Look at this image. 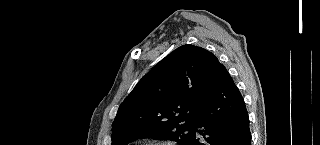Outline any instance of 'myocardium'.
Segmentation results:
<instances>
[{
	"mask_svg": "<svg viewBox=\"0 0 320 145\" xmlns=\"http://www.w3.org/2000/svg\"><path fill=\"white\" fill-rule=\"evenodd\" d=\"M144 145H165V144H162V143H147V144H144Z\"/></svg>",
	"mask_w": 320,
	"mask_h": 145,
	"instance_id": "myocardium-1",
	"label": "myocardium"
}]
</instances>
